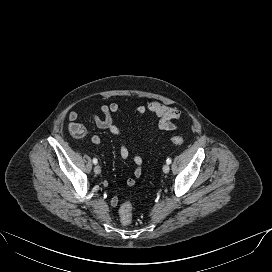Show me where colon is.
<instances>
[{
    "label": "colon",
    "instance_id": "colon-1",
    "mask_svg": "<svg viewBox=\"0 0 272 272\" xmlns=\"http://www.w3.org/2000/svg\"><path fill=\"white\" fill-rule=\"evenodd\" d=\"M70 133L75 138H82L86 131L85 128L77 123H73L69 127ZM183 138L181 136H174L171 138V142L175 145H181L183 143ZM132 210L133 206L130 202H124L120 209H119V215H120V221L123 225H129L132 220Z\"/></svg>",
    "mask_w": 272,
    "mask_h": 272
}]
</instances>
